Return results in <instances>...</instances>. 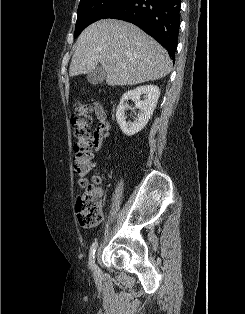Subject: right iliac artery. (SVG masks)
Segmentation results:
<instances>
[{"label":"right iliac artery","mask_w":245,"mask_h":314,"mask_svg":"<svg viewBox=\"0 0 245 314\" xmlns=\"http://www.w3.org/2000/svg\"><path fill=\"white\" fill-rule=\"evenodd\" d=\"M96 247H97V241H95L91 248H90V253H89V265L92 267H94V255H95V251H96Z\"/></svg>","instance_id":"obj_1"}]
</instances>
